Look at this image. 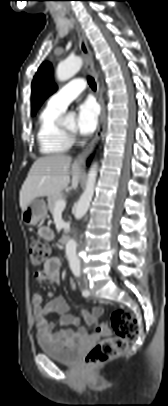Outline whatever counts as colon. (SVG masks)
I'll return each instance as SVG.
<instances>
[{
    "label": "colon",
    "mask_w": 168,
    "mask_h": 406,
    "mask_svg": "<svg viewBox=\"0 0 168 406\" xmlns=\"http://www.w3.org/2000/svg\"><path fill=\"white\" fill-rule=\"evenodd\" d=\"M50 255V247L39 241L29 243V258L33 265L44 263ZM99 331L113 336L96 343L85 356V365L95 367L124 353L139 334V323L135 314L129 310L116 309L109 320L99 326Z\"/></svg>",
    "instance_id": "5ec220e1"
}]
</instances>
